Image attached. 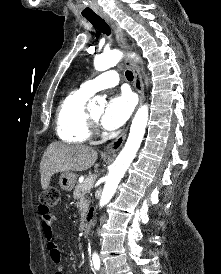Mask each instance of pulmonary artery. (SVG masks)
Masks as SVG:
<instances>
[{"label": "pulmonary artery", "instance_id": "e3ab8cb5", "mask_svg": "<svg viewBox=\"0 0 221 274\" xmlns=\"http://www.w3.org/2000/svg\"><path fill=\"white\" fill-rule=\"evenodd\" d=\"M119 83V74L115 70L106 71L84 82L81 86L85 92L94 94L100 90L115 87Z\"/></svg>", "mask_w": 221, "mask_h": 274}]
</instances>
